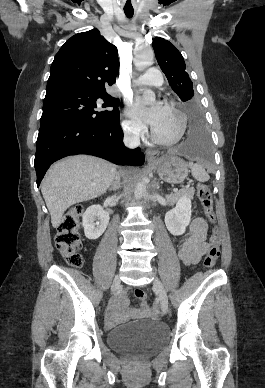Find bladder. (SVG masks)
<instances>
[{
    "label": "bladder",
    "mask_w": 265,
    "mask_h": 388,
    "mask_svg": "<svg viewBox=\"0 0 265 388\" xmlns=\"http://www.w3.org/2000/svg\"><path fill=\"white\" fill-rule=\"evenodd\" d=\"M107 342L123 352L150 353L164 346L166 328L155 321L130 322L110 331Z\"/></svg>",
    "instance_id": "obj_1"
}]
</instances>
